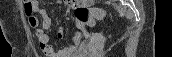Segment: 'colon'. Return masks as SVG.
Listing matches in <instances>:
<instances>
[{
    "label": "colon",
    "instance_id": "5ec220e1",
    "mask_svg": "<svg viewBox=\"0 0 172 57\" xmlns=\"http://www.w3.org/2000/svg\"><path fill=\"white\" fill-rule=\"evenodd\" d=\"M107 12L97 7L78 6L75 8V17L78 22L93 26L98 19L106 17Z\"/></svg>",
    "mask_w": 172,
    "mask_h": 57
}]
</instances>
